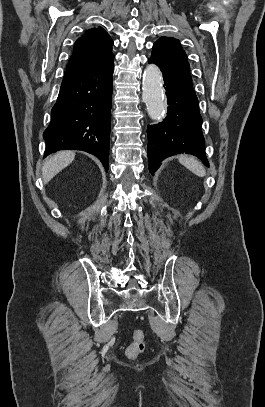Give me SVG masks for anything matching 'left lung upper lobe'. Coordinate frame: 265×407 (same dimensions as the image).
<instances>
[{
    "label": "left lung upper lobe",
    "instance_id": "5c2ea615",
    "mask_svg": "<svg viewBox=\"0 0 265 407\" xmlns=\"http://www.w3.org/2000/svg\"><path fill=\"white\" fill-rule=\"evenodd\" d=\"M151 58L160 68L192 83L187 55L177 39L159 38L153 45Z\"/></svg>",
    "mask_w": 265,
    "mask_h": 407
}]
</instances>
